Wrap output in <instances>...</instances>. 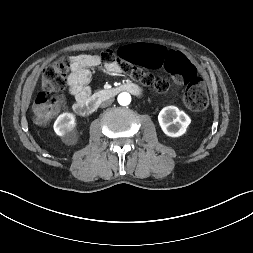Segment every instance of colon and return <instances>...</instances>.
<instances>
[{
	"instance_id": "colon-1",
	"label": "colon",
	"mask_w": 253,
	"mask_h": 253,
	"mask_svg": "<svg viewBox=\"0 0 253 253\" xmlns=\"http://www.w3.org/2000/svg\"><path fill=\"white\" fill-rule=\"evenodd\" d=\"M93 56L105 65H118L121 71L158 93L168 91L170 81L135 65L156 73L166 71L173 76L175 82L185 85L183 102L188 110L199 112L208 105L204 81L197 76L194 66L178 49H169L159 41L147 40L143 44H123L117 52L104 50ZM70 68L71 59L63 57L43 70L42 92L36 97L33 106L34 118L38 124H47L59 112L62 103L61 93L67 85Z\"/></svg>"
}]
</instances>
